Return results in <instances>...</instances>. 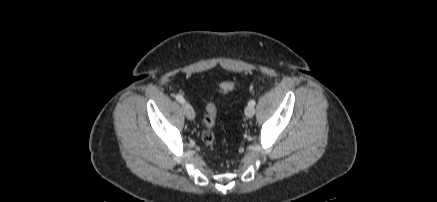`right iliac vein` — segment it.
Here are the masks:
<instances>
[{"label": "right iliac vein", "instance_id": "63e3f726", "mask_svg": "<svg viewBox=\"0 0 437 202\" xmlns=\"http://www.w3.org/2000/svg\"><path fill=\"white\" fill-rule=\"evenodd\" d=\"M183 111H184L185 116H186L189 120H194V118H195V112H194L193 107H192L190 104H188V103H184V104H183Z\"/></svg>", "mask_w": 437, "mask_h": 202}]
</instances>
